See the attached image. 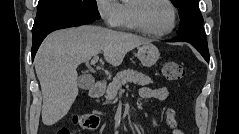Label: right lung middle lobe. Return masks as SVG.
<instances>
[{
    "label": "right lung middle lobe",
    "instance_id": "obj_1",
    "mask_svg": "<svg viewBox=\"0 0 239 134\" xmlns=\"http://www.w3.org/2000/svg\"><path fill=\"white\" fill-rule=\"evenodd\" d=\"M65 16L100 19L96 0H39L32 33L47 23Z\"/></svg>",
    "mask_w": 239,
    "mask_h": 134
}]
</instances>
